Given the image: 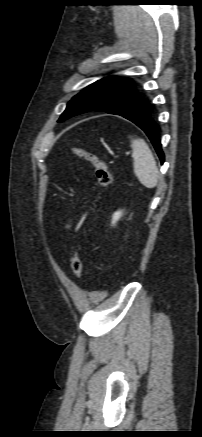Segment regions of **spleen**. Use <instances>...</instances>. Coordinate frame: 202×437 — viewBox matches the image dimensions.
I'll list each match as a JSON object with an SVG mask.
<instances>
[{"label": "spleen", "mask_w": 202, "mask_h": 437, "mask_svg": "<svg viewBox=\"0 0 202 437\" xmlns=\"http://www.w3.org/2000/svg\"><path fill=\"white\" fill-rule=\"evenodd\" d=\"M134 173L146 188H154L158 183L159 171L148 145L139 138L131 139Z\"/></svg>", "instance_id": "3e777b00"}]
</instances>
